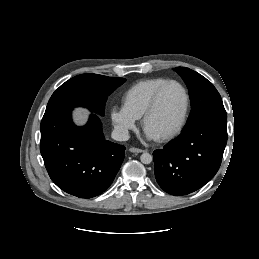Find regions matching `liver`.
Here are the masks:
<instances>
[{
  "label": "liver",
  "mask_w": 259,
  "mask_h": 259,
  "mask_svg": "<svg viewBox=\"0 0 259 259\" xmlns=\"http://www.w3.org/2000/svg\"><path fill=\"white\" fill-rule=\"evenodd\" d=\"M88 114L89 112L86 109H81V108L76 109L74 112L75 121L81 125L85 124V122L87 121Z\"/></svg>",
  "instance_id": "6515ba94"
}]
</instances>
